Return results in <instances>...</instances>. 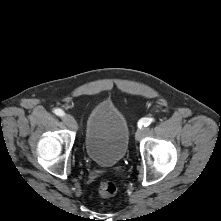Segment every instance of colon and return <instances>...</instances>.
<instances>
[{"instance_id": "5ec220e1", "label": "colon", "mask_w": 221, "mask_h": 221, "mask_svg": "<svg viewBox=\"0 0 221 221\" xmlns=\"http://www.w3.org/2000/svg\"><path fill=\"white\" fill-rule=\"evenodd\" d=\"M117 185L113 181H102L98 185V193L102 197H110L116 194Z\"/></svg>"}]
</instances>
